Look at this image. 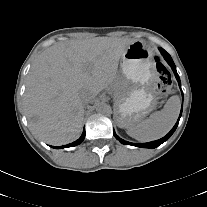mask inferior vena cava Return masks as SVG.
I'll return each instance as SVG.
<instances>
[{"label":"inferior vena cava","mask_w":207,"mask_h":207,"mask_svg":"<svg viewBox=\"0 0 207 207\" xmlns=\"http://www.w3.org/2000/svg\"><path fill=\"white\" fill-rule=\"evenodd\" d=\"M80 97L83 103H90L94 100L95 95L90 91H82Z\"/></svg>","instance_id":"inferior-vena-cava-1"}]
</instances>
